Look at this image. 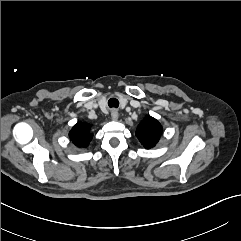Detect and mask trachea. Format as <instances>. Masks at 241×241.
<instances>
[{
	"instance_id": "1",
	"label": "trachea",
	"mask_w": 241,
	"mask_h": 241,
	"mask_svg": "<svg viewBox=\"0 0 241 241\" xmlns=\"http://www.w3.org/2000/svg\"><path fill=\"white\" fill-rule=\"evenodd\" d=\"M108 105L110 108H117L119 106V101L116 96H111L108 101Z\"/></svg>"
}]
</instances>
